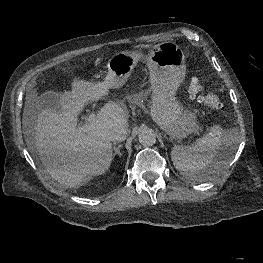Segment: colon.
Wrapping results in <instances>:
<instances>
[{"mask_svg": "<svg viewBox=\"0 0 263 263\" xmlns=\"http://www.w3.org/2000/svg\"><path fill=\"white\" fill-rule=\"evenodd\" d=\"M188 92L190 96L198 102L215 111L223 112L224 107L219 97L215 93L209 91L198 80L195 79L190 82L188 86Z\"/></svg>", "mask_w": 263, "mask_h": 263, "instance_id": "colon-1", "label": "colon"}]
</instances>
